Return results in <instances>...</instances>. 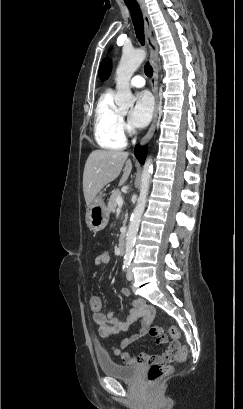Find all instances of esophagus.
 Instances as JSON below:
<instances>
[{
	"label": "esophagus",
	"instance_id": "obj_1",
	"mask_svg": "<svg viewBox=\"0 0 243 409\" xmlns=\"http://www.w3.org/2000/svg\"><path fill=\"white\" fill-rule=\"evenodd\" d=\"M142 14H143V19L145 23V39L147 42V45L150 50V63L153 68V77L151 79V88L154 94L155 98V109H154V114H153V119L151 126L146 133V135L142 138L140 144L144 145L146 144L152 137L155 131L156 127V122H157V116H158V105H159V98H158V69H157V62H158V45L157 42L153 36V28H152V23L151 19L148 13L147 6L143 0H138Z\"/></svg>",
	"mask_w": 243,
	"mask_h": 409
}]
</instances>
